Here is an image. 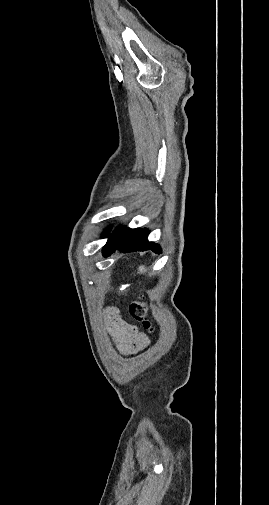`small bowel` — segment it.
Listing matches in <instances>:
<instances>
[{
  "mask_svg": "<svg viewBox=\"0 0 269 505\" xmlns=\"http://www.w3.org/2000/svg\"><path fill=\"white\" fill-rule=\"evenodd\" d=\"M108 330L117 347L124 354H133L148 345L147 336L128 322L116 307L106 310Z\"/></svg>",
  "mask_w": 269,
  "mask_h": 505,
  "instance_id": "small-bowel-1",
  "label": "small bowel"
}]
</instances>
